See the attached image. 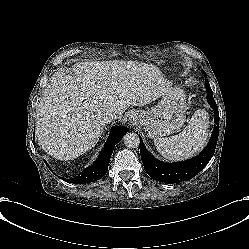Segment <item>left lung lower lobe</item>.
Here are the masks:
<instances>
[{
  "label": "left lung lower lobe",
  "mask_w": 249,
  "mask_h": 249,
  "mask_svg": "<svg viewBox=\"0 0 249 249\" xmlns=\"http://www.w3.org/2000/svg\"><path fill=\"white\" fill-rule=\"evenodd\" d=\"M207 91V100L215 111V127L212 132L211 139L206 148L196 157L176 163H164L155 159L145 148L140 138V153L147 174L154 180L165 182L166 184L179 183L186 181L197 175L211 160L219 134V112L214 101L212 90L207 80H205Z\"/></svg>",
  "instance_id": "1"
}]
</instances>
